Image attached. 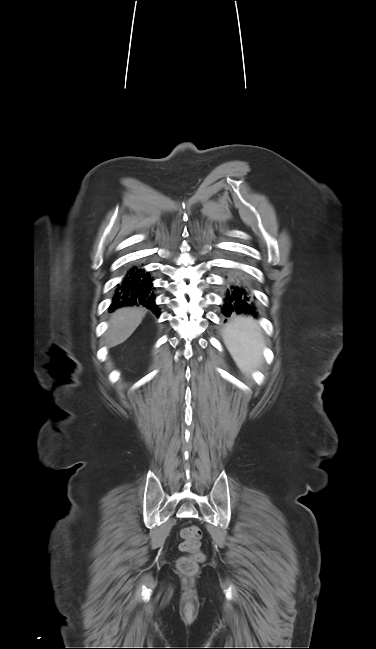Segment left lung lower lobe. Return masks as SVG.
Segmentation results:
<instances>
[{"label": "left lung lower lobe", "mask_w": 376, "mask_h": 649, "mask_svg": "<svg viewBox=\"0 0 376 649\" xmlns=\"http://www.w3.org/2000/svg\"><path fill=\"white\" fill-rule=\"evenodd\" d=\"M241 283L242 282L238 277L228 279V292L224 304L222 305L223 314L227 317H229L232 312L250 315H256L257 313V308L254 302H252L251 297H248V294Z\"/></svg>", "instance_id": "obj_1"}]
</instances>
